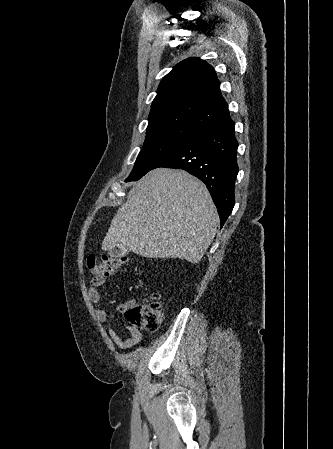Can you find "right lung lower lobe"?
<instances>
[{
	"instance_id": "1",
	"label": "right lung lower lobe",
	"mask_w": 333,
	"mask_h": 449,
	"mask_svg": "<svg viewBox=\"0 0 333 449\" xmlns=\"http://www.w3.org/2000/svg\"><path fill=\"white\" fill-rule=\"evenodd\" d=\"M234 126L229 115L210 124L187 139L153 168L183 169L203 181L217 207L222 226L235 204L238 142Z\"/></svg>"
}]
</instances>
